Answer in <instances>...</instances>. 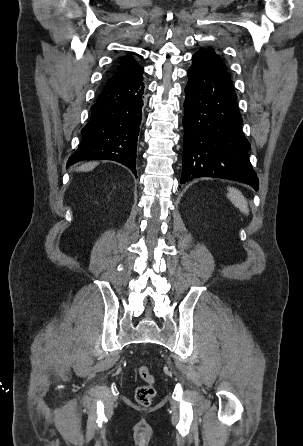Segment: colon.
Segmentation results:
<instances>
[{
  "label": "colon",
  "instance_id": "obj_1",
  "mask_svg": "<svg viewBox=\"0 0 303 446\" xmlns=\"http://www.w3.org/2000/svg\"><path fill=\"white\" fill-rule=\"evenodd\" d=\"M138 375L143 383L136 388L135 399L138 404L149 406L157 394L155 378L145 365L138 368Z\"/></svg>",
  "mask_w": 303,
  "mask_h": 446
}]
</instances>
